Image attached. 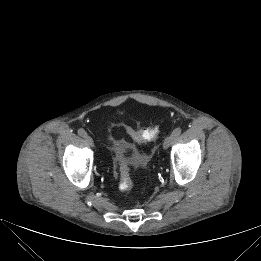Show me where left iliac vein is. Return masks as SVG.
Returning a JSON list of instances; mask_svg holds the SVG:
<instances>
[{
  "mask_svg": "<svg viewBox=\"0 0 261 261\" xmlns=\"http://www.w3.org/2000/svg\"><path fill=\"white\" fill-rule=\"evenodd\" d=\"M175 138L172 136V134L170 136H168L167 138H165L164 142H163V148L167 149L170 147V145L174 142Z\"/></svg>",
  "mask_w": 261,
  "mask_h": 261,
  "instance_id": "1",
  "label": "left iliac vein"
}]
</instances>
